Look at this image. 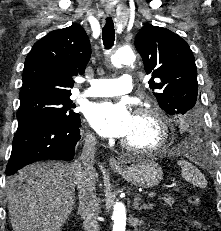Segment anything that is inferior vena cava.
I'll use <instances>...</instances> for the list:
<instances>
[{
    "label": "inferior vena cava",
    "mask_w": 221,
    "mask_h": 231,
    "mask_svg": "<svg viewBox=\"0 0 221 231\" xmlns=\"http://www.w3.org/2000/svg\"><path fill=\"white\" fill-rule=\"evenodd\" d=\"M96 143V137L91 133L87 134L82 154L74 163L79 198V211L83 219L85 231H99L97 221L99 202L95 188V180L98 175L93 167Z\"/></svg>",
    "instance_id": "1"
}]
</instances>
